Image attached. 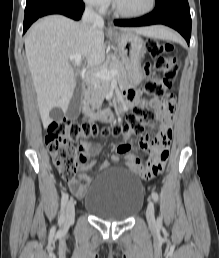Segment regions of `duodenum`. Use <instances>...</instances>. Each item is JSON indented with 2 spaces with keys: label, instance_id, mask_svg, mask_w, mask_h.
Masks as SVG:
<instances>
[{
  "label": "duodenum",
  "instance_id": "1",
  "mask_svg": "<svg viewBox=\"0 0 219 258\" xmlns=\"http://www.w3.org/2000/svg\"><path fill=\"white\" fill-rule=\"evenodd\" d=\"M90 93V86L86 84L83 88V98L86 99ZM112 117V113L109 110L104 111L103 118L109 119Z\"/></svg>",
  "mask_w": 219,
  "mask_h": 258
}]
</instances>
